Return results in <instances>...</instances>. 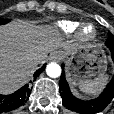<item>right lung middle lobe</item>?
Segmentation results:
<instances>
[{"label": "right lung middle lobe", "instance_id": "dd1d6c3e", "mask_svg": "<svg viewBox=\"0 0 114 114\" xmlns=\"http://www.w3.org/2000/svg\"><path fill=\"white\" fill-rule=\"evenodd\" d=\"M8 22H9V20L0 18V24H6Z\"/></svg>", "mask_w": 114, "mask_h": 114}]
</instances>
